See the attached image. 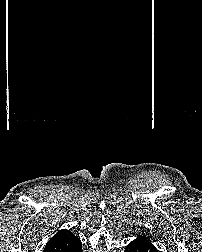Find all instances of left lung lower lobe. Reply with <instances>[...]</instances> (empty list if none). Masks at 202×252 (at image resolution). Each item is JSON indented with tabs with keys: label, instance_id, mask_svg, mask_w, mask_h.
<instances>
[{
	"label": "left lung lower lobe",
	"instance_id": "1",
	"mask_svg": "<svg viewBox=\"0 0 202 252\" xmlns=\"http://www.w3.org/2000/svg\"><path fill=\"white\" fill-rule=\"evenodd\" d=\"M125 252H158L150 239L145 236H138L127 247Z\"/></svg>",
	"mask_w": 202,
	"mask_h": 252
}]
</instances>
